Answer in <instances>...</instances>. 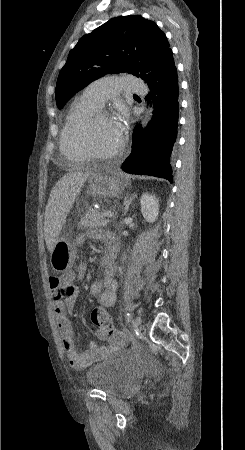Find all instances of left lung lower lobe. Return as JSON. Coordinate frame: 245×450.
Wrapping results in <instances>:
<instances>
[{
  "instance_id": "0a47b994",
  "label": "left lung lower lobe",
  "mask_w": 245,
  "mask_h": 450,
  "mask_svg": "<svg viewBox=\"0 0 245 450\" xmlns=\"http://www.w3.org/2000/svg\"><path fill=\"white\" fill-rule=\"evenodd\" d=\"M153 101V117L142 130L133 131L132 152L123 162V171L131 174L152 175L173 181L170 155L178 126V77L173 57L147 81Z\"/></svg>"
}]
</instances>
